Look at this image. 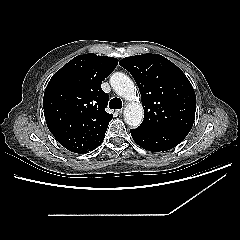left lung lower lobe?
<instances>
[{
	"mask_svg": "<svg viewBox=\"0 0 240 240\" xmlns=\"http://www.w3.org/2000/svg\"><path fill=\"white\" fill-rule=\"evenodd\" d=\"M186 129H131L133 140L151 152L167 151L177 146L189 133Z\"/></svg>",
	"mask_w": 240,
	"mask_h": 240,
	"instance_id": "obj_1",
	"label": "left lung lower lobe"
}]
</instances>
